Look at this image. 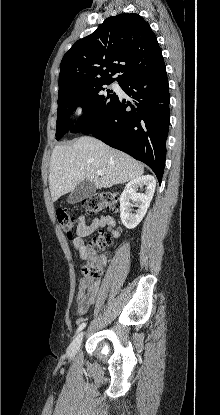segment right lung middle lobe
<instances>
[{
  "label": "right lung middle lobe",
  "mask_w": 220,
  "mask_h": 415,
  "mask_svg": "<svg viewBox=\"0 0 220 415\" xmlns=\"http://www.w3.org/2000/svg\"><path fill=\"white\" fill-rule=\"evenodd\" d=\"M112 81L93 85L74 86L58 94V112L56 139L59 140L71 128V132L89 131L97 129L108 117L117 95L112 90L103 94L104 85ZM77 105L83 107L84 115L75 127L69 120L71 109Z\"/></svg>",
  "instance_id": "obj_1"
}]
</instances>
